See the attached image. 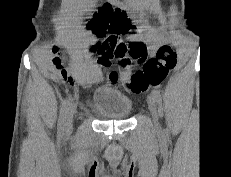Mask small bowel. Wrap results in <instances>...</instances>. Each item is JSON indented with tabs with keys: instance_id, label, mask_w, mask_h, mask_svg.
<instances>
[{
	"instance_id": "1",
	"label": "small bowel",
	"mask_w": 231,
	"mask_h": 177,
	"mask_svg": "<svg viewBox=\"0 0 231 177\" xmlns=\"http://www.w3.org/2000/svg\"><path fill=\"white\" fill-rule=\"evenodd\" d=\"M110 5H111V4H110ZM111 6H112V5H111ZM114 8H117V9H119V10H121V11H123V12H125V13L127 14V8H126V4H125L124 2H116ZM143 28H144V30L151 31V28L148 27V26H144ZM156 49H157V46H156V45H152V46H150V48H149V52H150L151 54H154V53L156 52ZM100 65H101V64H100ZM102 66H103V65H102ZM104 67H106V66H104ZM62 77H63V79H64L65 81H67V82H69V83H72V82H73L72 76H71L69 73H67V72H63V73H62ZM110 79H111L112 82H115V81L117 80V75H115L114 77L111 76Z\"/></svg>"
}]
</instances>
